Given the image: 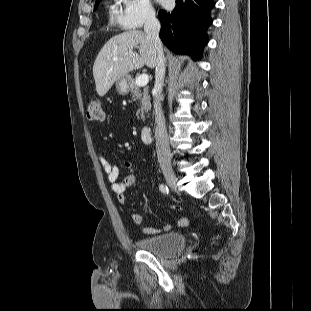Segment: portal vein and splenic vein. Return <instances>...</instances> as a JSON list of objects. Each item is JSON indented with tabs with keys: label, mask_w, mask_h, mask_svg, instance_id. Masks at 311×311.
I'll return each mask as SVG.
<instances>
[{
	"label": "portal vein and splenic vein",
	"mask_w": 311,
	"mask_h": 311,
	"mask_svg": "<svg viewBox=\"0 0 311 311\" xmlns=\"http://www.w3.org/2000/svg\"><path fill=\"white\" fill-rule=\"evenodd\" d=\"M115 61L119 60L118 57L114 58ZM149 82V76L147 74H142L139 77L136 78V84L138 86H146Z\"/></svg>",
	"instance_id": "obj_1"
}]
</instances>
